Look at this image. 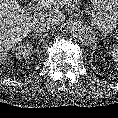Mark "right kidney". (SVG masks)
<instances>
[{"instance_id": "obj_1", "label": "right kidney", "mask_w": 118, "mask_h": 118, "mask_svg": "<svg viewBox=\"0 0 118 118\" xmlns=\"http://www.w3.org/2000/svg\"><path fill=\"white\" fill-rule=\"evenodd\" d=\"M33 46L28 43L19 44L14 50H16V58L23 59L29 57L33 52Z\"/></svg>"}]
</instances>
